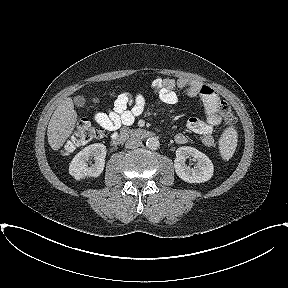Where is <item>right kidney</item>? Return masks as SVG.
Masks as SVG:
<instances>
[{
  "label": "right kidney",
  "mask_w": 288,
  "mask_h": 288,
  "mask_svg": "<svg viewBox=\"0 0 288 288\" xmlns=\"http://www.w3.org/2000/svg\"><path fill=\"white\" fill-rule=\"evenodd\" d=\"M106 146L101 143L91 144L85 147L72 159L69 173L76 180L85 177H98L105 166ZM94 157V163L88 166V160Z\"/></svg>",
  "instance_id": "right-kidney-1"
}]
</instances>
